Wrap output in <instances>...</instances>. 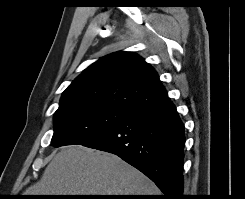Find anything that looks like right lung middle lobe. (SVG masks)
Here are the masks:
<instances>
[{"label": "right lung middle lobe", "mask_w": 245, "mask_h": 199, "mask_svg": "<svg viewBox=\"0 0 245 199\" xmlns=\"http://www.w3.org/2000/svg\"><path fill=\"white\" fill-rule=\"evenodd\" d=\"M128 113L94 104L58 109L54 116L55 147L83 144L117 125Z\"/></svg>", "instance_id": "dd1d6c3e"}]
</instances>
